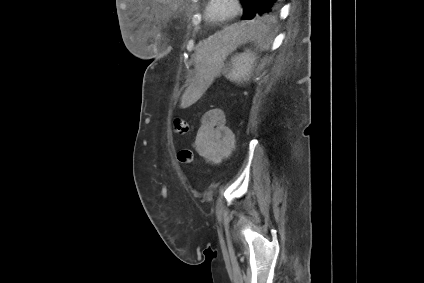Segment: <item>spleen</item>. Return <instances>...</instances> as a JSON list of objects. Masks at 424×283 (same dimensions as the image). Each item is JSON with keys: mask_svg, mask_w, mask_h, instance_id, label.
<instances>
[{"mask_svg": "<svg viewBox=\"0 0 424 283\" xmlns=\"http://www.w3.org/2000/svg\"><path fill=\"white\" fill-rule=\"evenodd\" d=\"M261 35H263V32L260 25L257 23L250 24L248 39H258ZM257 59V54L251 49H245L243 53L234 55L231 58V69L228 72L227 69L224 71L225 77L237 84L249 81L257 65ZM219 70L220 66L218 65L214 70V74Z\"/></svg>", "mask_w": 424, "mask_h": 283, "instance_id": "obj_1", "label": "spleen"}]
</instances>
